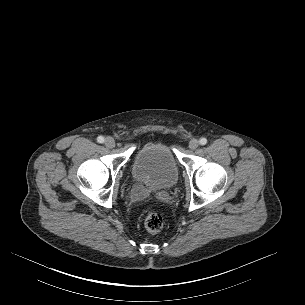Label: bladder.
Masks as SVG:
<instances>
[{
  "instance_id": "1",
  "label": "bladder",
  "mask_w": 305,
  "mask_h": 305,
  "mask_svg": "<svg viewBox=\"0 0 305 305\" xmlns=\"http://www.w3.org/2000/svg\"><path fill=\"white\" fill-rule=\"evenodd\" d=\"M132 176L150 191L174 187L178 182L179 171L170 147L160 140L142 144L133 158Z\"/></svg>"
}]
</instances>
